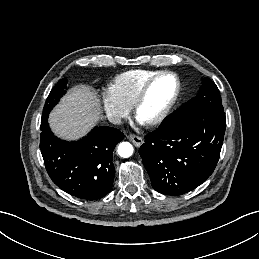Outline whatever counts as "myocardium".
<instances>
[{
  "instance_id": "f54148a6",
  "label": "myocardium",
  "mask_w": 259,
  "mask_h": 259,
  "mask_svg": "<svg viewBox=\"0 0 259 259\" xmlns=\"http://www.w3.org/2000/svg\"><path fill=\"white\" fill-rule=\"evenodd\" d=\"M165 76H170V77L174 78V80H175L176 88H175L174 95L171 98V100L169 101V103L167 104V106L163 109V111L158 116H156L155 118H153L147 122H142L146 126L152 127V126L161 124L167 118V116L170 114L171 110L175 106V104L178 100V97L180 95L181 82H180L178 75L172 71H160L157 74H155L154 76H152L150 79H148L144 83V85L141 87L140 91L138 92V94L133 102V105H132V113H133L134 118L139 121L138 111H139V108L141 107V105L143 104L150 87L153 85V83L155 81H157L158 79L165 77Z\"/></svg>"
}]
</instances>
